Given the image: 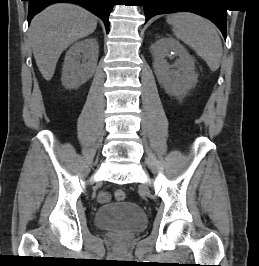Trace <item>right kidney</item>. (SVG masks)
Here are the masks:
<instances>
[{
  "label": "right kidney",
  "mask_w": 259,
  "mask_h": 266,
  "mask_svg": "<svg viewBox=\"0 0 259 266\" xmlns=\"http://www.w3.org/2000/svg\"><path fill=\"white\" fill-rule=\"evenodd\" d=\"M98 41L87 38L72 45L65 55L61 81L67 89L78 88L89 80L96 69Z\"/></svg>",
  "instance_id": "right-kidney-1"
}]
</instances>
